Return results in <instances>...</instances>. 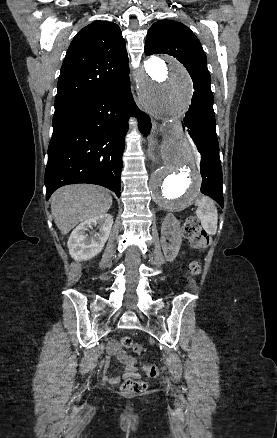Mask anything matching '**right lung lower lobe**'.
<instances>
[{
	"mask_svg": "<svg viewBox=\"0 0 277 438\" xmlns=\"http://www.w3.org/2000/svg\"><path fill=\"white\" fill-rule=\"evenodd\" d=\"M84 67L76 65L72 69ZM114 67L110 62L96 66L101 72ZM130 115L137 117L140 131L148 134L150 118L136 106L128 75L55 110L45 171L46 200L57 188L73 183L101 185L120 197L122 154Z\"/></svg>",
	"mask_w": 277,
	"mask_h": 438,
	"instance_id": "98d812e1",
	"label": "right lung lower lobe"
}]
</instances>
